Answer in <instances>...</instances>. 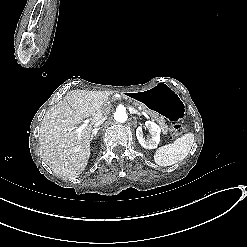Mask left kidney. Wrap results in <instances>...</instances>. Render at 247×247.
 Segmentation results:
<instances>
[{
    "label": "left kidney",
    "mask_w": 247,
    "mask_h": 247,
    "mask_svg": "<svg viewBox=\"0 0 247 247\" xmlns=\"http://www.w3.org/2000/svg\"><path fill=\"white\" fill-rule=\"evenodd\" d=\"M143 127L149 131L150 138L145 139L143 133ZM160 128L151 121H146L143 126H138L136 129V138L139 144L148 150L154 149L159 143Z\"/></svg>",
    "instance_id": "1"
}]
</instances>
